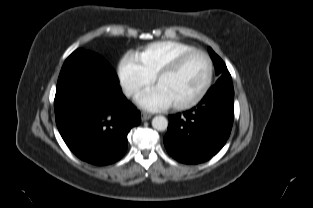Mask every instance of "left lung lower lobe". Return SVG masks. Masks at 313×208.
<instances>
[{
	"instance_id": "0a47b994",
	"label": "left lung lower lobe",
	"mask_w": 313,
	"mask_h": 208,
	"mask_svg": "<svg viewBox=\"0 0 313 208\" xmlns=\"http://www.w3.org/2000/svg\"><path fill=\"white\" fill-rule=\"evenodd\" d=\"M234 118L232 83L212 86L192 109L169 116L163 139L168 153L177 161L198 164L217 154L229 138Z\"/></svg>"
}]
</instances>
